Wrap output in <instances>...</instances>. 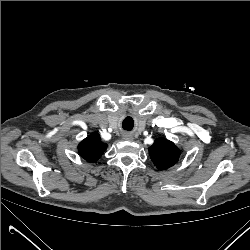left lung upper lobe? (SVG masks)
Returning <instances> with one entry per match:
<instances>
[{
	"label": "left lung upper lobe",
	"mask_w": 250,
	"mask_h": 250,
	"mask_svg": "<svg viewBox=\"0 0 250 250\" xmlns=\"http://www.w3.org/2000/svg\"><path fill=\"white\" fill-rule=\"evenodd\" d=\"M150 157L159 170L172 167L179 160L181 151L167 139H157L149 148Z\"/></svg>",
	"instance_id": "obj_1"
}]
</instances>
